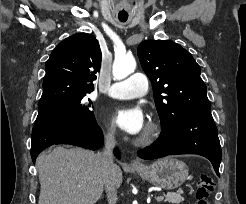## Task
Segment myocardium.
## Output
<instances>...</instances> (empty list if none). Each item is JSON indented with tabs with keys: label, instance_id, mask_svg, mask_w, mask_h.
<instances>
[{
	"label": "myocardium",
	"instance_id": "f54148a6",
	"mask_svg": "<svg viewBox=\"0 0 246 204\" xmlns=\"http://www.w3.org/2000/svg\"><path fill=\"white\" fill-rule=\"evenodd\" d=\"M158 126L155 123H149L143 134L137 139L140 145L150 144L158 134Z\"/></svg>",
	"mask_w": 246,
	"mask_h": 204
}]
</instances>
